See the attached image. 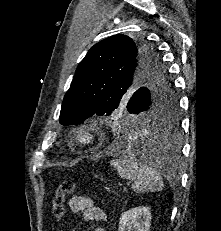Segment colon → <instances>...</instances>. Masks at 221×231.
<instances>
[{
    "label": "colon",
    "mask_w": 221,
    "mask_h": 231,
    "mask_svg": "<svg viewBox=\"0 0 221 231\" xmlns=\"http://www.w3.org/2000/svg\"><path fill=\"white\" fill-rule=\"evenodd\" d=\"M75 184L72 181H65L61 183L52 194V205L54 216L58 220H62L66 213V197L73 193Z\"/></svg>",
    "instance_id": "colon-1"
}]
</instances>
